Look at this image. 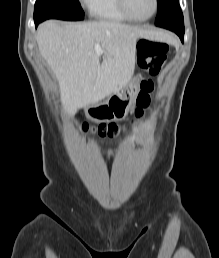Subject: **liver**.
Returning a JSON list of instances; mask_svg holds the SVG:
<instances>
[{
	"mask_svg": "<svg viewBox=\"0 0 219 258\" xmlns=\"http://www.w3.org/2000/svg\"><path fill=\"white\" fill-rule=\"evenodd\" d=\"M138 38L172 39L162 31L116 22L59 25L49 20L39 26L36 41L59 83L61 101L72 113L126 87L135 68ZM96 43L102 54L96 53Z\"/></svg>",
	"mask_w": 219,
	"mask_h": 258,
	"instance_id": "liver-1",
	"label": "liver"
}]
</instances>
